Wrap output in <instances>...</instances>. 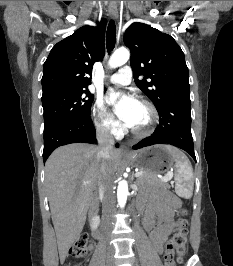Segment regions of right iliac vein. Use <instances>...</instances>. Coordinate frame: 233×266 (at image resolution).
<instances>
[{
    "mask_svg": "<svg viewBox=\"0 0 233 266\" xmlns=\"http://www.w3.org/2000/svg\"><path fill=\"white\" fill-rule=\"evenodd\" d=\"M112 262H113V255H112V253H109V255H108V266H112Z\"/></svg>",
    "mask_w": 233,
    "mask_h": 266,
    "instance_id": "right-iliac-vein-1",
    "label": "right iliac vein"
}]
</instances>
